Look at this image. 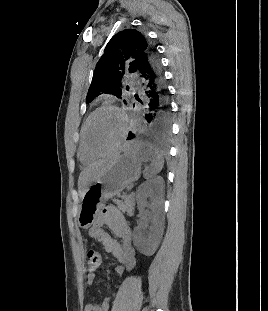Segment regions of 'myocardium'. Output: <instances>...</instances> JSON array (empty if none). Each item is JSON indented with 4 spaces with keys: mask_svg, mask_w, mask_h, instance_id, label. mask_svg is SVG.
Returning <instances> with one entry per match:
<instances>
[{
    "mask_svg": "<svg viewBox=\"0 0 268 311\" xmlns=\"http://www.w3.org/2000/svg\"><path fill=\"white\" fill-rule=\"evenodd\" d=\"M113 110L115 111L121 118L122 121V131L121 134L119 136V138L117 139V141L113 144L112 147H110L107 151L102 152V153H96L94 152L88 145L87 142V128L89 125L90 120L93 118L94 115H96L97 113H99L102 110ZM128 129H129V124H128V118L127 115L116 105L113 104H103L100 105L99 107H97L96 109H94L86 118L83 127H82V133H81V138H82V143L83 146L86 150V152L91 155L92 157H104L108 154H110L111 152L115 151L126 139L127 135H128Z\"/></svg>",
    "mask_w": 268,
    "mask_h": 311,
    "instance_id": "obj_1",
    "label": "myocardium"
}]
</instances>
